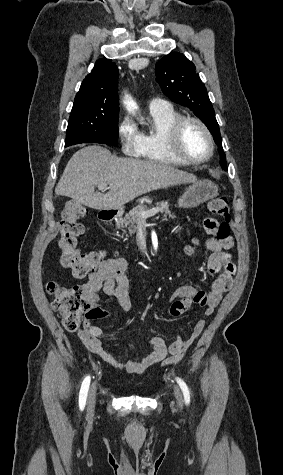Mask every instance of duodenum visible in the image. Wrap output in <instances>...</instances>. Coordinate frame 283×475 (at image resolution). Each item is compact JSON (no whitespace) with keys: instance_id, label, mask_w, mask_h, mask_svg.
<instances>
[{"instance_id":"410a0bca","label":"duodenum","mask_w":283,"mask_h":475,"mask_svg":"<svg viewBox=\"0 0 283 475\" xmlns=\"http://www.w3.org/2000/svg\"><path fill=\"white\" fill-rule=\"evenodd\" d=\"M99 217L104 222H110L115 217V212L112 210H104L100 213Z\"/></svg>"}]
</instances>
